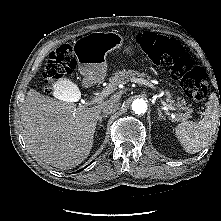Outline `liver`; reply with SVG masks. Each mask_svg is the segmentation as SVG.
<instances>
[{
	"instance_id": "liver-1",
	"label": "liver",
	"mask_w": 221,
	"mask_h": 221,
	"mask_svg": "<svg viewBox=\"0 0 221 221\" xmlns=\"http://www.w3.org/2000/svg\"><path fill=\"white\" fill-rule=\"evenodd\" d=\"M68 82L69 90L78 91L76 85ZM120 97V93H115L108 100H120ZM103 103L93 107L77 106L30 89L21 109L26 144L42 161L60 169H72L83 162L92 149Z\"/></svg>"
}]
</instances>
